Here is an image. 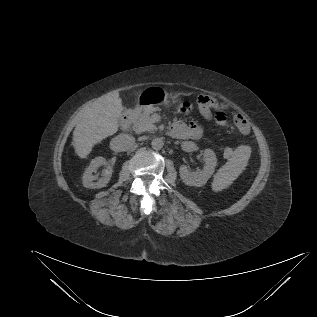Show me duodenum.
Returning a JSON list of instances; mask_svg holds the SVG:
<instances>
[{"instance_id": "410a0bca", "label": "duodenum", "mask_w": 317, "mask_h": 317, "mask_svg": "<svg viewBox=\"0 0 317 317\" xmlns=\"http://www.w3.org/2000/svg\"><path fill=\"white\" fill-rule=\"evenodd\" d=\"M132 111L127 110L120 119V126L122 129H127L131 124Z\"/></svg>"}]
</instances>
